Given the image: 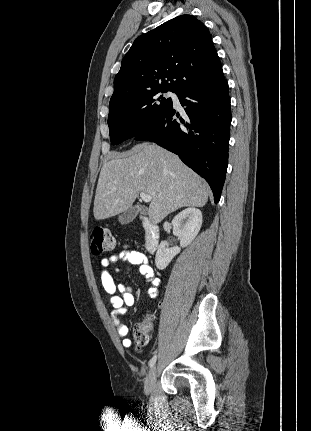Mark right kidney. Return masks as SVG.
Listing matches in <instances>:
<instances>
[{
  "label": "right kidney",
  "instance_id": "ca27d5eb",
  "mask_svg": "<svg viewBox=\"0 0 311 431\" xmlns=\"http://www.w3.org/2000/svg\"><path fill=\"white\" fill-rule=\"evenodd\" d=\"M202 221V212L197 208H186L172 219L173 233L180 237V247H167L165 241H161L155 255V265L158 269H165L173 257L180 253L181 247H187L195 239Z\"/></svg>",
  "mask_w": 311,
  "mask_h": 431
}]
</instances>
